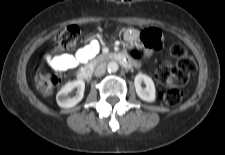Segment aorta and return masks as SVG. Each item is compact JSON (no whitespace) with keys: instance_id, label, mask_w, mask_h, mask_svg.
Returning <instances> with one entry per match:
<instances>
[{"instance_id":"762f6f07","label":"aorta","mask_w":225,"mask_h":155,"mask_svg":"<svg viewBox=\"0 0 225 155\" xmlns=\"http://www.w3.org/2000/svg\"><path fill=\"white\" fill-rule=\"evenodd\" d=\"M107 69L109 72H117L119 69L118 63L115 61H111L107 64Z\"/></svg>"}]
</instances>
